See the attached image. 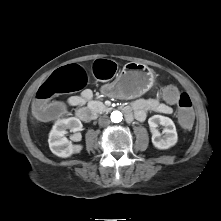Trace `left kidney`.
<instances>
[{"label":"left kidney","instance_id":"obj_1","mask_svg":"<svg viewBox=\"0 0 221 221\" xmlns=\"http://www.w3.org/2000/svg\"><path fill=\"white\" fill-rule=\"evenodd\" d=\"M148 123L152 133V143L157 149H168L177 143L176 127L169 117L154 115L148 119ZM158 125L164 127L163 135L157 129Z\"/></svg>","mask_w":221,"mask_h":221}]
</instances>
